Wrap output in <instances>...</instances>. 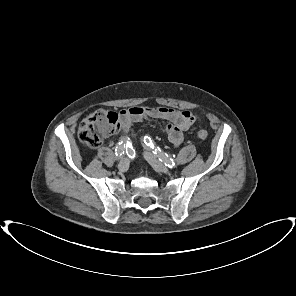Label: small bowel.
<instances>
[{"label":"small bowel","instance_id":"obj_1","mask_svg":"<svg viewBox=\"0 0 296 296\" xmlns=\"http://www.w3.org/2000/svg\"><path fill=\"white\" fill-rule=\"evenodd\" d=\"M151 118L164 119L169 122L164 128V132L174 146H179L182 143L184 132L197 119L196 115L189 111L169 107H131L120 112L119 126L123 132V139H129V132L134 123Z\"/></svg>","mask_w":296,"mask_h":296}]
</instances>
